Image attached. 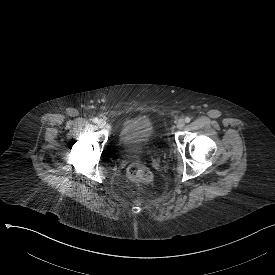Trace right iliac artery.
Segmentation results:
<instances>
[{
  "mask_svg": "<svg viewBox=\"0 0 275 275\" xmlns=\"http://www.w3.org/2000/svg\"><path fill=\"white\" fill-rule=\"evenodd\" d=\"M92 121H93L94 123H97V122H98V118H93Z\"/></svg>",
  "mask_w": 275,
  "mask_h": 275,
  "instance_id": "right-iliac-artery-1",
  "label": "right iliac artery"
}]
</instances>
